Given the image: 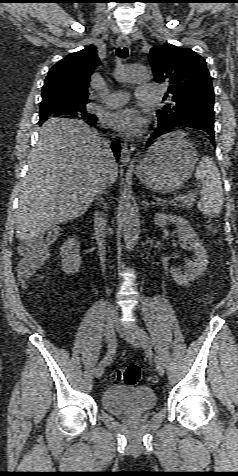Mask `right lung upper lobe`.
<instances>
[{
  "mask_svg": "<svg viewBox=\"0 0 238 476\" xmlns=\"http://www.w3.org/2000/svg\"><path fill=\"white\" fill-rule=\"evenodd\" d=\"M99 65L97 50L92 47L67 55L48 72L42 89V102L86 105L89 102L90 77Z\"/></svg>",
  "mask_w": 238,
  "mask_h": 476,
  "instance_id": "cb5924a9",
  "label": "right lung upper lobe"
}]
</instances>
